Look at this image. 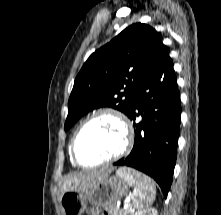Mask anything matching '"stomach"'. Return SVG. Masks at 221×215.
<instances>
[{"mask_svg": "<svg viewBox=\"0 0 221 215\" xmlns=\"http://www.w3.org/2000/svg\"><path fill=\"white\" fill-rule=\"evenodd\" d=\"M133 178L143 180L145 175L130 169H120ZM130 184L124 176L116 175L103 178L86 190H70L60 198L63 215H82L88 204L109 209L127 194Z\"/></svg>", "mask_w": 221, "mask_h": 215, "instance_id": "stomach-1", "label": "stomach"}]
</instances>
